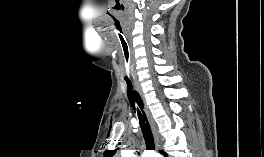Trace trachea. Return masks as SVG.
<instances>
[{
	"instance_id": "1",
	"label": "trachea",
	"mask_w": 264,
	"mask_h": 157,
	"mask_svg": "<svg viewBox=\"0 0 264 157\" xmlns=\"http://www.w3.org/2000/svg\"><path fill=\"white\" fill-rule=\"evenodd\" d=\"M122 75L127 84V96L129 102L134 110H136L139 124L142 129L143 137L145 139L147 150H154V139L150 125L144 112V105L142 99L137 91L133 87V67L129 45L122 43Z\"/></svg>"
}]
</instances>
